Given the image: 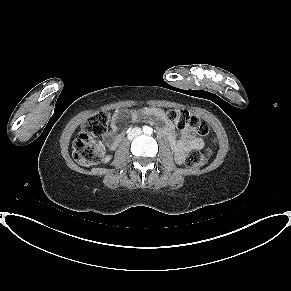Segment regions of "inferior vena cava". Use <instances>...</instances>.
Returning <instances> with one entry per match:
<instances>
[{"label": "inferior vena cava", "mask_w": 291, "mask_h": 291, "mask_svg": "<svg viewBox=\"0 0 291 291\" xmlns=\"http://www.w3.org/2000/svg\"><path fill=\"white\" fill-rule=\"evenodd\" d=\"M142 131L140 128L138 127H135L133 128L132 130H130V132L128 133V139L129 140H132L134 139L135 137L141 135Z\"/></svg>", "instance_id": "602c4592"}]
</instances>
